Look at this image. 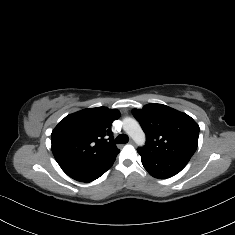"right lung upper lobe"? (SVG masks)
I'll return each instance as SVG.
<instances>
[{"mask_svg":"<svg viewBox=\"0 0 235 235\" xmlns=\"http://www.w3.org/2000/svg\"><path fill=\"white\" fill-rule=\"evenodd\" d=\"M120 112L107 107L89 108L62 119L51 134L52 152L60 167L93 168L115 161L111 124Z\"/></svg>","mask_w":235,"mask_h":235,"instance_id":"obj_1","label":"right lung upper lobe"}]
</instances>
